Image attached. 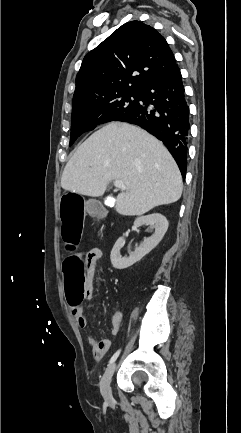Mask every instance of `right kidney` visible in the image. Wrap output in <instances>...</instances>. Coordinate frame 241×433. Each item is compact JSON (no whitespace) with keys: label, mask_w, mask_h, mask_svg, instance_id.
<instances>
[{"label":"right kidney","mask_w":241,"mask_h":433,"mask_svg":"<svg viewBox=\"0 0 241 433\" xmlns=\"http://www.w3.org/2000/svg\"><path fill=\"white\" fill-rule=\"evenodd\" d=\"M142 225H149L151 229H155L154 233L144 240V242L136 247L128 257H122L120 249L123 246V237L118 238L111 251L110 259L114 268L122 270L132 266L140 261L145 255L153 250L162 240L168 229V220L165 216L159 213H153L146 216H141L134 221V227L138 228Z\"/></svg>","instance_id":"right-kidney-1"}]
</instances>
